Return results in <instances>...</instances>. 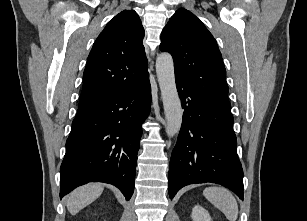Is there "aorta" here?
Returning <instances> with one entry per match:
<instances>
[{
  "instance_id": "1",
  "label": "aorta",
  "mask_w": 307,
  "mask_h": 221,
  "mask_svg": "<svg viewBox=\"0 0 307 221\" xmlns=\"http://www.w3.org/2000/svg\"><path fill=\"white\" fill-rule=\"evenodd\" d=\"M156 73L166 118V133L175 136L182 125L183 110L175 83L174 62L169 53L157 57Z\"/></svg>"
}]
</instances>
